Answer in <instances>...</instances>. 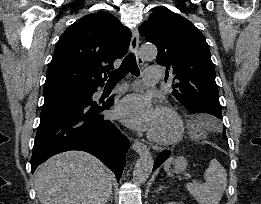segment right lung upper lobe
Listing matches in <instances>:
<instances>
[{
	"mask_svg": "<svg viewBox=\"0 0 261 204\" xmlns=\"http://www.w3.org/2000/svg\"><path fill=\"white\" fill-rule=\"evenodd\" d=\"M131 33L110 13L88 14L59 38L47 70L44 95L78 92L104 85L105 71L125 55Z\"/></svg>",
	"mask_w": 261,
	"mask_h": 204,
	"instance_id": "obj_1",
	"label": "right lung upper lobe"
}]
</instances>
